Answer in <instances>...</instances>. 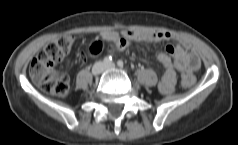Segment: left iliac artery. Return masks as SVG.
<instances>
[{
	"instance_id": "obj_1",
	"label": "left iliac artery",
	"mask_w": 238,
	"mask_h": 145,
	"mask_svg": "<svg viewBox=\"0 0 238 145\" xmlns=\"http://www.w3.org/2000/svg\"><path fill=\"white\" fill-rule=\"evenodd\" d=\"M117 66L120 67V68H122V67L124 66L123 61H122V60H118V61H117Z\"/></svg>"
}]
</instances>
